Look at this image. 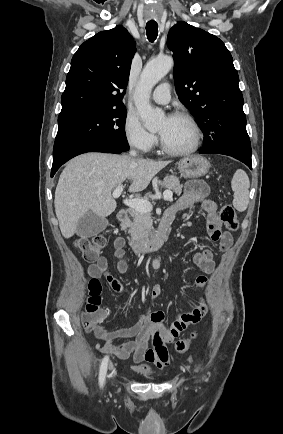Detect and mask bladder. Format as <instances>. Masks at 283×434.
<instances>
[{
  "instance_id": "bladder-1",
  "label": "bladder",
  "mask_w": 283,
  "mask_h": 434,
  "mask_svg": "<svg viewBox=\"0 0 283 434\" xmlns=\"http://www.w3.org/2000/svg\"><path fill=\"white\" fill-rule=\"evenodd\" d=\"M141 374L144 375L145 377H148V378L152 377L151 372L148 370L141 372Z\"/></svg>"
}]
</instances>
